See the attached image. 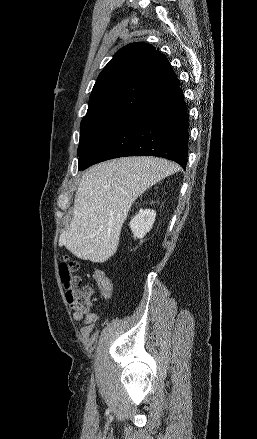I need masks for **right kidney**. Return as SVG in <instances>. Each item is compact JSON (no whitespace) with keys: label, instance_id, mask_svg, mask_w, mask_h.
<instances>
[{"label":"right kidney","instance_id":"obj_1","mask_svg":"<svg viewBox=\"0 0 257 439\" xmlns=\"http://www.w3.org/2000/svg\"><path fill=\"white\" fill-rule=\"evenodd\" d=\"M156 212L152 209H140L131 219L130 228L137 238H143L152 228Z\"/></svg>","mask_w":257,"mask_h":439}]
</instances>
